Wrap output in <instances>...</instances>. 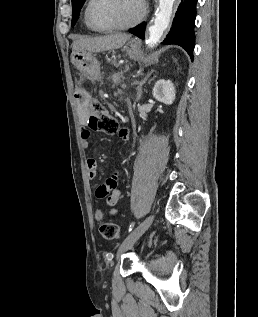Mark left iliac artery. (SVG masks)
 I'll use <instances>...</instances> for the list:
<instances>
[{"mask_svg": "<svg viewBox=\"0 0 258 317\" xmlns=\"http://www.w3.org/2000/svg\"><path fill=\"white\" fill-rule=\"evenodd\" d=\"M134 226H135V221H132L131 224L129 225L128 232H131Z\"/></svg>", "mask_w": 258, "mask_h": 317, "instance_id": "obj_1", "label": "left iliac artery"}]
</instances>
